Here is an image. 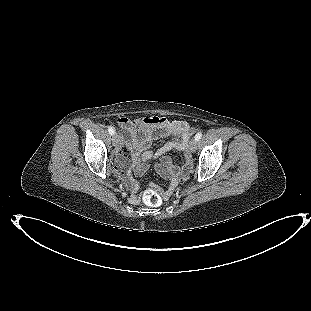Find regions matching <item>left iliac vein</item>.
Listing matches in <instances>:
<instances>
[{
    "label": "left iliac vein",
    "mask_w": 311,
    "mask_h": 311,
    "mask_svg": "<svg viewBox=\"0 0 311 311\" xmlns=\"http://www.w3.org/2000/svg\"><path fill=\"white\" fill-rule=\"evenodd\" d=\"M188 148L191 152H195L197 148V141L195 139H191Z\"/></svg>",
    "instance_id": "obj_1"
}]
</instances>
